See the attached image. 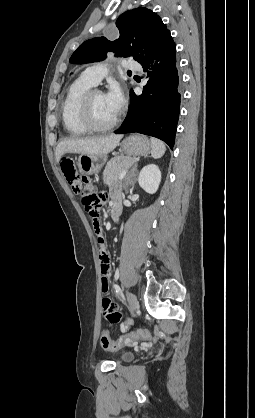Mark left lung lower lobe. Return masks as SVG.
<instances>
[{"mask_svg": "<svg viewBox=\"0 0 255 418\" xmlns=\"http://www.w3.org/2000/svg\"><path fill=\"white\" fill-rule=\"evenodd\" d=\"M141 65L149 81L141 95L130 91L129 112L115 133L150 135L163 140L173 149L180 109V72L172 37L158 53Z\"/></svg>", "mask_w": 255, "mask_h": 418, "instance_id": "left-lung-lower-lobe-1", "label": "left lung lower lobe"}]
</instances>
